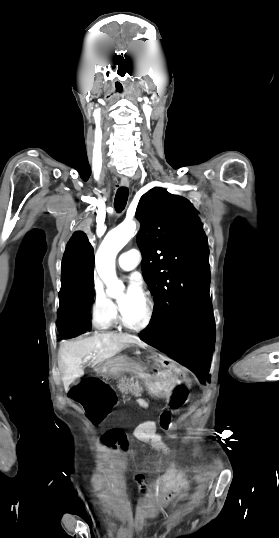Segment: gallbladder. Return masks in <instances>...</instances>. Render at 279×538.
I'll list each match as a JSON object with an SVG mask.
<instances>
[{
  "mask_svg": "<svg viewBox=\"0 0 279 538\" xmlns=\"http://www.w3.org/2000/svg\"><path fill=\"white\" fill-rule=\"evenodd\" d=\"M74 384H78V380H77V382H74Z\"/></svg>",
  "mask_w": 279,
  "mask_h": 538,
  "instance_id": "bac80fb5",
  "label": "gallbladder"
}]
</instances>
